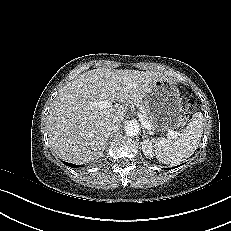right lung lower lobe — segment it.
Segmentation results:
<instances>
[{
  "mask_svg": "<svg viewBox=\"0 0 231 231\" xmlns=\"http://www.w3.org/2000/svg\"><path fill=\"white\" fill-rule=\"evenodd\" d=\"M67 166L69 167H72V168H77L78 165H75V164H71V163H67V162H64Z\"/></svg>",
  "mask_w": 231,
  "mask_h": 231,
  "instance_id": "obj_1",
  "label": "right lung lower lobe"
}]
</instances>
